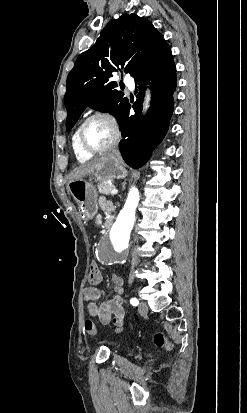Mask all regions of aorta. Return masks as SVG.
<instances>
[{"label":"aorta","instance_id":"1","mask_svg":"<svg viewBox=\"0 0 247 413\" xmlns=\"http://www.w3.org/2000/svg\"><path fill=\"white\" fill-rule=\"evenodd\" d=\"M150 94L148 93L145 105L143 107L144 112L149 107ZM139 202V191L136 187L129 189L128 197L123 209L120 211L115 223L113 224L110 232V237L115 243V248L118 251L124 250L128 247L130 231L135 221V210Z\"/></svg>","mask_w":247,"mask_h":413}]
</instances>
